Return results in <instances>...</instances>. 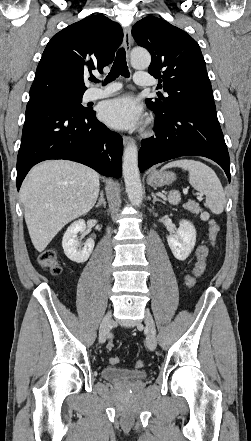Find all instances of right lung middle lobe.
<instances>
[{
    "label": "right lung middle lobe",
    "instance_id": "right-lung-middle-lobe-1",
    "mask_svg": "<svg viewBox=\"0 0 251 441\" xmlns=\"http://www.w3.org/2000/svg\"><path fill=\"white\" fill-rule=\"evenodd\" d=\"M82 96L83 94H78V95L59 94L43 99L41 100V102H46L53 105L61 106L62 108H66L76 113L83 114V113H87L89 109L81 105Z\"/></svg>",
    "mask_w": 251,
    "mask_h": 441
}]
</instances>
